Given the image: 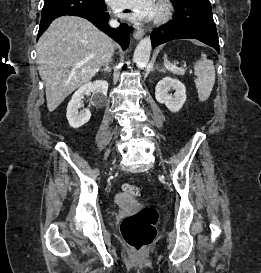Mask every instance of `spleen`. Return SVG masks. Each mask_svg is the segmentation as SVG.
Returning <instances> with one entry per match:
<instances>
[{"label": "spleen", "instance_id": "spleen-1", "mask_svg": "<svg viewBox=\"0 0 261 273\" xmlns=\"http://www.w3.org/2000/svg\"><path fill=\"white\" fill-rule=\"evenodd\" d=\"M164 65L168 71L176 75H184L185 70L181 67H177L167 59V55H164ZM194 71L196 78L194 80L198 98L201 102L206 101L213 89L215 83V67L212 60L207 59L206 54H201V59L194 64Z\"/></svg>", "mask_w": 261, "mask_h": 273}]
</instances>
